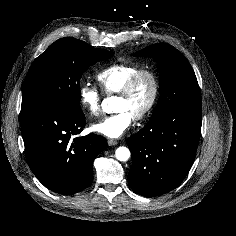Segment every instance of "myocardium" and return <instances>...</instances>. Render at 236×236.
<instances>
[{
    "label": "myocardium",
    "instance_id": "f54148a6",
    "mask_svg": "<svg viewBox=\"0 0 236 236\" xmlns=\"http://www.w3.org/2000/svg\"><path fill=\"white\" fill-rule=\"evenodd\" d=\"M144 76L148 77L151 81L152 93L145 108L134 116L136 120H142L148 117L157 104L160 94V81L157 73L151 68H140L130 76V78L123 85L122 89L117 93L118 97H128L133 92L139 80Z\"/></svg>",
    "mask_w": 236,
    "mask_h": 236
}]
</instances>
